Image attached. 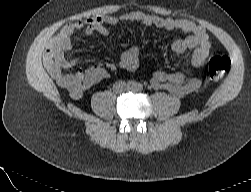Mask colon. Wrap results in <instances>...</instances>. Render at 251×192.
I'll return each instance as SVG.
<instances>
[{
  "instance_id": "5ec220e1",
  "label": "colon",
  "mask_w": 251,
  "mask_h": 192,
  "mask_svg": "<svg viewBox=\"0 0 251 192\" xmlns=\"http://www.w3.org/2000/svg\"><path fill=\"white\" fill-rule=\"evenodd\" d=\"M229 65V60L226 57L212 55L209 59V75L212 79L221 78Z\"/></svg>"
}]
</instances>
